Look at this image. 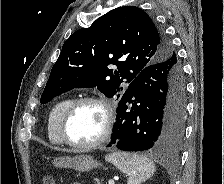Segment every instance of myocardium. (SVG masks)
I'll use <instances>...</instances> for the list:
<instances>
[{
    "instance_id": "obj_1",
    "label": "myocardium",
    "mask_w": 224,
    "mask_h": 184,
    "mask_svg": "<svg viewBox=\"0 0 224 184\" xmlns=\"http://www.w3.org/2000/svg\"><path fill=\"white\" fill-rule=\"evenodd\" d=\"M85 103H92L101 107V109L104 112L105 118L101 135L93 142L80 144L70 139L67 131V125L70 117L72 116L76 108ZM114 122H115L114 110L110 105V103L105 98L91 95L81 96L73 99L63 112L59 123V132L65 144L79 150H89L102 145L108 140L113 131Z\"/></svg>"
}]
</instances>
